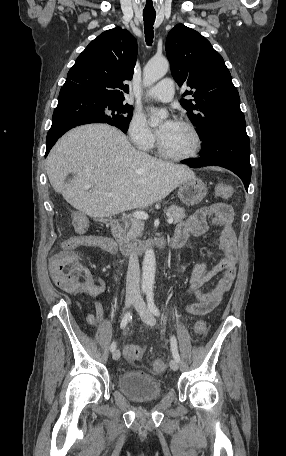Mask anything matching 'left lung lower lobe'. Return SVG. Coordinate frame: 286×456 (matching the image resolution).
Here are the masks:
<instances>
[{
	"instance_id": "1",
	"label": "left lung lower lobe",
	"mask_w": 286,
	"mask_h": 456,
	"mask_svg": "<svg viewBox=\"0 0 286 456\" xmlns=\"http://www.w3.org/2000/svg\"><path fill=\"white\" fill-rule=\"evenodd\" d=\"M201 157L186 162L191 168L217 165L238 175L248 191L251 180L250 140L247 134L234 132L218 133L211 137L201 148Z\"/></svg>"
}]
</instances>
